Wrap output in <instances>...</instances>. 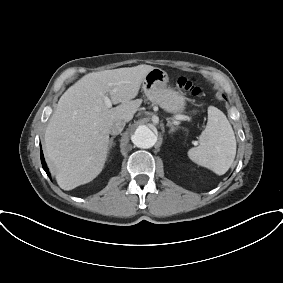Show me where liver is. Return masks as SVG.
<instances>
[{"label":"liver","mask_w":283,"mask_h":283,"mask_svg":"<svg viewBox=\"0 0 283 283\" xmlns=\"http://www.w3.org/2000/svg\"><path fill=\"white\" fill-rule=\"evenodd\" d=\"M151 65L93 72L69 87L49 119L44 150L63 190H72L96 178L107 158L110 127L129 122L140 107L136 99ZM109 96L114 108H108Z\"/></svg>","instance_id":"1"}]
</instances>
